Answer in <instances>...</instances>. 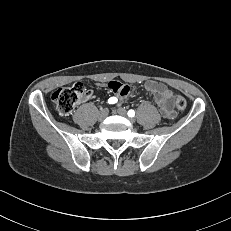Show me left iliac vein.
Segmentation results:
<instances>
[{"label": "left iliac vein", "instance_id": "obj_1", "mask_svg": "<svg viewBox=\"0 0 231 231\" xmlns=\"http://www.w3.org/2000/svg\"><path fill=\"white\" fill-rule=\"evenodd\" d=\"M117 112L120 116L127 117V111L124 108H119ZM129 120L134 121L133 118H129Z\"/></svg>", "mask_w": 231, "mask_h": 231}]
</instances>
